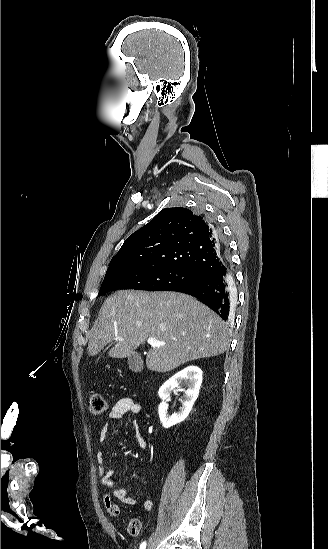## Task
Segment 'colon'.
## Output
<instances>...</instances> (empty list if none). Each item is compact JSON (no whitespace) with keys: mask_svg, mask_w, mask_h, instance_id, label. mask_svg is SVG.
<instances>
[{"mask_svg":"<svg viewBox=\"0 0 328 549\" xmlns=\"http://www.w3.org/2000/svg\"><path fill=\"white\" fill-rule=\"evenodd\" d=\"M89 409L93 414H102L107 410V403L99 393H93L89 399ZM106 511L113 517L120 516L119 506L113 502L110 495L105 494L103 498ZM127 532L131 536H137L141 532V521L137 518L128 519L126 522Z\"/></svg>","mask_w":328,"mask_h":549,"instance_id":"5ec220e1","label":"colon"}]
</instances>
